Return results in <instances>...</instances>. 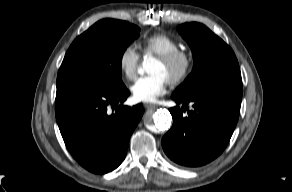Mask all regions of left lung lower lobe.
<instances>
[{
    "label": "left lung lower lobe",
    "mask_w": 292,
    "mask_h": 192,
    "mask_svg": "<svg viewBox=\"0 0 292 192\" xmlns=\"http://www.w3.org/2000/svg\"><path fill=\"white\" fill-rule=\"evenodd\" d=\"M171 98L182 104V108L169 109L173 125L162 139L164 152L172 161L186 167L211 162L229 143L238 120L242 93L224 90ZM189 103L193 109L186 115L183 112L189 110Z\"/></svg>",
    "instance_id": "obj_1"
}]
</instances>
